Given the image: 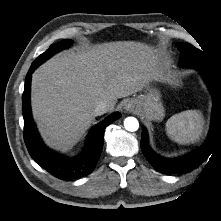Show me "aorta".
<instances>
[{
  "label": "aorta",
  "mask_w": 221,
  "mask_h": 221,
  "mask_svg": "<svg viewBox=\"0 0 221 221\" xmlns=\"http://www.w3.org/2000/svg\"><path fill=\"white\" fill-rule=\"evenodd\" d=\"M124 127L127 131L133 132L138 130L139 122L135 117H127L124 120Z\"/></svg>",
  "instance_id": "762f6f07"
}]
</instances>
